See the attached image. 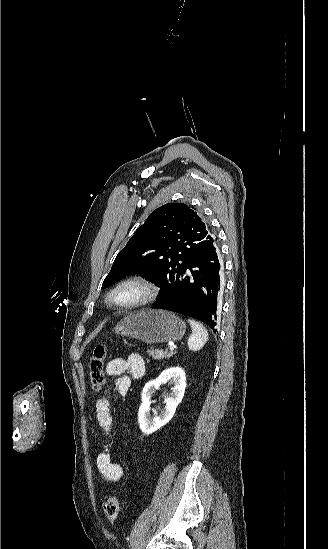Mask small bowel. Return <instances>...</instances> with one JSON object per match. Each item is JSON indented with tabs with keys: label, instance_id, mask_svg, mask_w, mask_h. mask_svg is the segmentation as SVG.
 <instances>
[{
	"label": "small bowel",
	"instance_id": "small-bowel-1",
	"mask_svg": "<svg viewBox=\"0 0 328 549\" xmlns=\"http://www.w3.org/2000/svg\"><path fill=\"white\" fill-rule=\"evenodd\" d=\"M109 376L116 377L114 388L121 396H126L130 390L132 380L141 378L145 373V362L141 355L132 353L127 358L116 357L106 366ZM127 373V374H125ZM96 421L105 438L96 458V466L102 479L117 482L124 476L121 465L111 459V445L109 439L113 427L111 415V400L108 391L99 397L95 403Z\"/></svg>",
	"mask_w": 328,
	"mask_h": 549
}]
</instances>
